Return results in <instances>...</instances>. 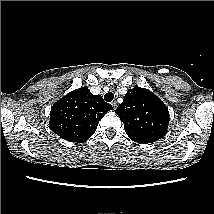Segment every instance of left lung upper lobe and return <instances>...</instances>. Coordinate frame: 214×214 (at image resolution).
I'll return each instance as SVG.
<instances>
[{
    "mask_svg": "<svg viewBox=\"0 0 214 214\" xmlns=\"http://www.w3.org/2000/svg\"><path fill=\"white\" fill-rule=\"evenodd\" d=\"M115 113L134 142L153 143L167 133L170 120L168 108L148 89L137 86L129 89Z\"/></svg>",
    "mask_w": 214,
    "mask_h": 214,
    "instance_id": "obj_1",
    "label": "left lung upper lobe"
}]
</instances>
